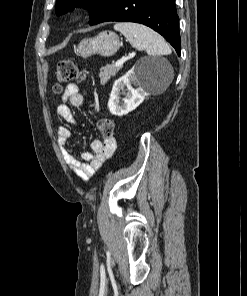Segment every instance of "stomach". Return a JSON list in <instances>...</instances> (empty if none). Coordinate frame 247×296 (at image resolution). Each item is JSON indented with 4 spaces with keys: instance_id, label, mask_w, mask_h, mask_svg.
Returning a JSON list of instances; mask_svg holds the SVG:
<instances>
[{
    "instance_id": "stomach-1",
    "label": "stomach",
    "mask_w": 247,
    "mask_h": 296,
    "mask_svg": "<svg viewBox=\"0 0 247 296\" xmlns=\"http://www.w3.org/2000/svg\"><path fill=\"white\" fill-rule=\"evenodd\" d=\"M120 48L118 36L111 31L100 32L93 38H85L78 44L77 52L83 58L99 54L103 57L114 55Z\"/></svg>"
}]
</instances>
